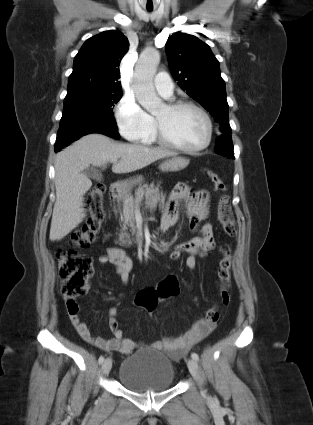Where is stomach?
<instances>
[{
	"label": "stomach",
	"mask_w": 313,
	"mask_h": 425,
	"mask_svg": "<svg viewBox=\"0 0 313 425\" xmlns=\"http://www.w3.org/2000/svg\"><path fill=\"white\" fill-rule=\"evenodd\" d=\"M189 164V159L185 157L174 156L171 159H168L162 162L159 166L162 172H178L186 168ZM143 180L142 176H137L136 178L125 181L121 184L122 187L131 189L134 185L141 183Z\"/></svg>",
	"instance_id": "1"
}]
</instances>
